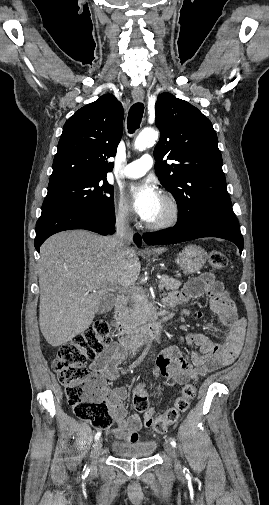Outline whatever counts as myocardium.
I'll list each match as a JSON object with an SVG mask.
<instances>
[{"label":"myocardium","instance_id":"f54148a6","mask_svg":"<svg viewBox=\"0 0 269 505\" xmlns=\"http://www.w3.org/2000/svg\"><path fill=\"white\" fill-rule=\"evenodd\" d=\"M161 198L168 204L170 213L167 218L157 222H145V226L151 230H164L175 226L181 216V209L175 197L169 193H162Z\"/></svg>","mask_w":269,"mask_h":505}]
</instances>
